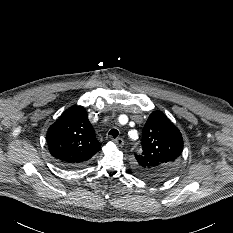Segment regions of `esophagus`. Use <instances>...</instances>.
Returning a JSON list of instances; mask_svg holds the SVG:
<instances>
[{
  "label": "esophagus",
  "instance_id": "34e87169",
  "mask_svg": "<svg viewBox=\"0 0 233 233\" xmlns=\"http://www.w3.org/2000/svg\"><path fill=\"white\" fill-rule=\"evenodd\" d=\"M114 142L120 147L124 144V140L122 138H116Z\"/></svg>",
  "mask_w": 233,
  "mask_h": 233
}]
</instances>
